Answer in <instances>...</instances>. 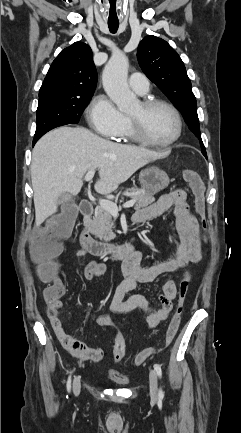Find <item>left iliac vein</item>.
Returning <instances> with one entry per match:
<instances>
[{
    "instance_id": "1",
    "label": "left iliac vein",
    "mask_w": 241,
    "mask_h": 433,
    "mask_svg": "<svg viewBox=\"0 0 241 433\" xmlns=\"http://www.w3.org/2000/svg\"><path fill=\"white\" fill-rule=\"evenodd\" d=\"M150 396L152 400L158 398V380L155 370H151L149 374Z\"/></svg>"
}]
</instances>
